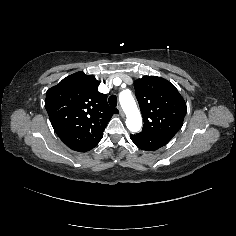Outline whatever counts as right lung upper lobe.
<instances>
[{"mask_svg":"<svg viewBox=\"0 0 236 236\" xmlns=\"http://www.w3.org/2000/svg\"><path fill=\"white\" fill-rule=\"evenodd\" d=\"M100 82L84 72L64 78L46 93L45 107L59 138L72 150L85 152L103 137L118 110L98 92Z\"/></svg>","mask_w":236,"mask_h":236,"instance_id":"right-lung-upper-lobe-1","label":"right lung upper lobe"}]
</instances>
